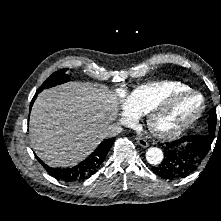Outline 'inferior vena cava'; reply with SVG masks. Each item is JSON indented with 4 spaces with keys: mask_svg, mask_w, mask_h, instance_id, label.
Wrapping results in <instances>:
<instances>
[{
    "mask_svg": "<svg viewBox=\"0 0 221 221\" xmlns=\"http://www.w3.org/2000/svg\"><path fill=\"white\" fill-rule=\"evenodd\" d=\"M122 132V128L116 124L109 125L106 129H104L101 133L103 139L111 138L117 136Z\"/></svg>",
    "mask_w": 221,
    "mask_h": 221,
    "instance_id": "obj_1",
    "label": "inferior vena cava"
}]
</instances>
